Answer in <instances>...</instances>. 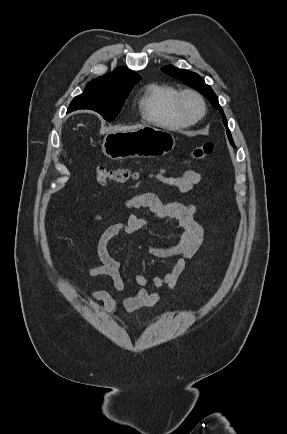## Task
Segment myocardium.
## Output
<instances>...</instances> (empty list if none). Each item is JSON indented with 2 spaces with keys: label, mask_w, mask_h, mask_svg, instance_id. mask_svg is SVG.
<instances>
[{
  "label": "myocardium",
  "mask_w": 287,
  "mask_h": 434,
  "mask_svg": "<svg viewBox=\"0 0 287 434\" xmlns=\"http://www.w3.org/2000/svg\"><path fill=\"white\" fill-rule=\"evenodd\" d=\"M189 97L195 99L199 105V112L196 115L189 114L185 109L184 103ZM174 108L176 113L189 123H194L200 120L204 116L206 110L205 101L202 95L193 89H184L178 92L174 100Z\"/></svg>",
  "instance_id": "f54148a6"
}]
</instances>
